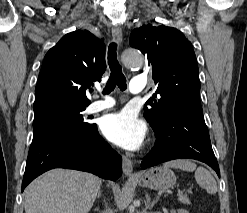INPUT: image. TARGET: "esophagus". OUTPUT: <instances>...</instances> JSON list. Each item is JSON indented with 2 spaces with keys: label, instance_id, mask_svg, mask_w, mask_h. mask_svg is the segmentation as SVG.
<instances>
[{
  "label": "esophagus",
  "instance_id": "34e87169",
  "mask_svg": "<svg viewBox=\"0 0 247 213\" xmlns=\"http://www.w3.org/2000/svg\"><path fill=\"white\" fill-rule=\"evenodd\" d=\"M112 36H113V39L119 45H121V43H122V29L119 26H113L112 27ZM122 168H123L124 174L127 177H130V178H136L137 177V175L135 173H133L132 161L125 156L123 157V160H122Z\"/></svg>",
  "mask_w": 247,
  "mask_h": 213
}]
</instances>
